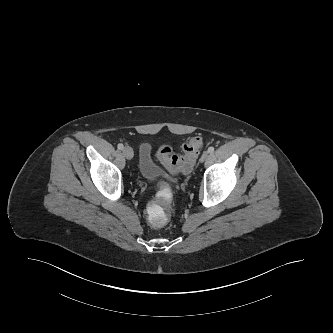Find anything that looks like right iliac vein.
Here are the masks:
<instances>
[{
  "instance_id": "1",
  "label": "right iliac vein",
  "mask_w": 333,
  "mask_h": 333,
  "mask_svg": "<svg viewBox=\"0 0 333 333\" xmlns=\"http://www.w3.org/2000/svg\"><path fill=\"white\" fill-rule=\"evenodd\" d=\"M123 154H124L126 159H129V160L132 159L133 155H134L133 149L129 146H126V147L123 148Z\"/></svg>"
}]
</instances>
